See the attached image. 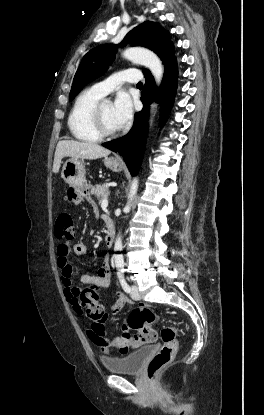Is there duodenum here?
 <instances>
[{
  "instance_id": "duodenum-1",
  "label": "duodenum",
  "mask_w": 264,
  "mask_h": 415,
  "mask_svg": "<svg viewBox=\"0 0 264 415\" xmlns=\"http://www.w3.org/2000/svg\"><path fill=\"white\" fill-rule=\"evenodd\" d=\"M115 241V229L112 219L107 216L105 218V242L106 245L112 247Z\"/></svg>"
}]
</instances>
